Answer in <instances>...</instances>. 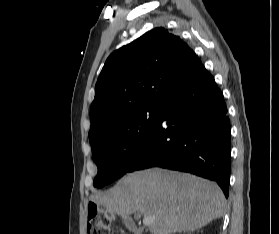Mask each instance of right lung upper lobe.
<instances>
[{
	"label": "right lung upper lobe",
	"mask_w": 279,
	"mask_h": 234,
	"mask_svg": "<svg viewBox=\"0 0 279 234\" xmlns=\"http://www.w3.org/2000/svg\"><path fill=\"white\" fill-rule=\"evenodd\" d=\"M201 66L194 51L163 27L113 52L96 83L90 143L109 133L124 116L161 108Z\"/></svg>",
	"instance_id": "cb5924a9"
}]
</instances>
